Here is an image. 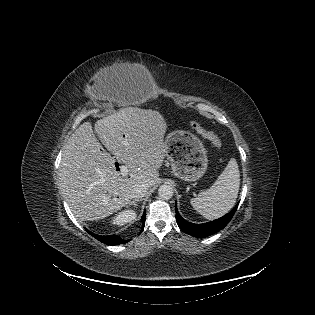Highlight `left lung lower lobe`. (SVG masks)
<instances>
[{"instance_id": "0a47b994", "label": "left lung lower lobe", "mask_w": 315, "mask_h": 315, "mask_svg": "<svg viewBox=\"0 0 315 315\" xmlns=\"http://www.w3.org/2000/svg\"><path fill=\"white\" fill-rule=\"evenodd\" d=\"M238 204L226 215L216 219L214 221L204 224H194L186 221L178 212L177 206L175 205L176 221L180 229L196 238H205L220 230H222L232 219L233 215L237 210Z\"/></svg>"}]
</instances>
